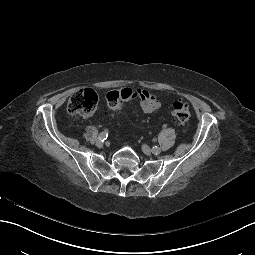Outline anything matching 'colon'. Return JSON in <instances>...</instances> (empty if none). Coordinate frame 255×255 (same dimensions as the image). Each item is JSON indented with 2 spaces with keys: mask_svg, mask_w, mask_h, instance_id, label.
Instances as JSON below:
<instances>
[{
  "mask_svg": "<svg viewBox=\"0 0 255 255\" xmlns=\"http://www.w3.org/2000/svg\"><path fill=\"white\" fill-rule=\"evenodd\" d=\"M138 90L124 88L118 91H111L106 95L107 104L111 109H117L122 101L139 97ZM98 104L97 93L90 88L76 91L69 99L67 111L72 115L88 116L94 112ZM172 117L179 125H185L190 118L189 107L176 101L172 106Z\"/></svg>",
  "mask_w": 255,
  "mask_h": 255,
  "instance_id": "5ec220e1",
  "label": "colon"
}]
</instances>
